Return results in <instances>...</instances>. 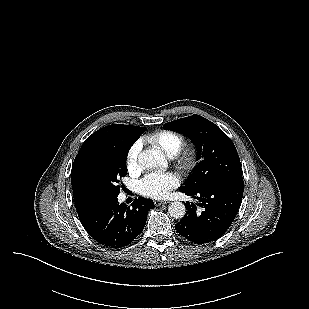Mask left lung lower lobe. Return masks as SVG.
<instances>
[{"mask_svg":"<svg viewBox=\"0 0 309 309\" xmlns=\"http://www.w3.org/2000/svg\"><path fill=\"white\" fill-rule=\"evenodd\" d=\"M244 191L243 180H229L193 192L181 191L199 200L202 213L187 202V212L175 225L188 241L206 244L220 238L231 226L240 207Z\"/></svg>","mask_w":309,"mask_h":309,"instance_id":"left-lung-lower-lobe-1","label":"left lung lower lobe"}]
</instances>
